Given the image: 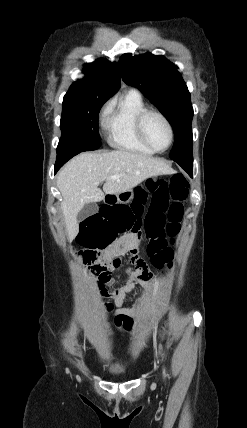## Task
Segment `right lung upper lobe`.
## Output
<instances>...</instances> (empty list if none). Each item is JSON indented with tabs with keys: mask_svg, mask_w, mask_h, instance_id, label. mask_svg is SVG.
<instances>
[{
	"mask_svg": "<svg viewBox=\"0 0 247 428\" xmlns=\"http://www.w3.org/2000/svg\"><path fill=\"white\" fill-rule=\"evenodd\" d=\"M85 65V78L75 81L66 95L91 94L109 99L119 90L120 73L115 62L101 58Z\"/></svg>",
	"mask_w": 247,
	"mask_h": 428,
	"instance_id": "obj_1",
	"label": "right lung upper lobe"
}]
</instances>
